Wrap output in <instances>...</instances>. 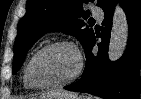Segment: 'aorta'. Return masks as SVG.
<instances>
[{
  "label": "aorta",
  "mask_w": 141,
  "mask_h": 99,
  "mask_svg": "<svg viewBox=\"0 0 141 99\" xmlns=\"http://www.w3.org/2000/svg\"><path fill=\"white\" fill-rule=\"evenodd\" d=\"M128 40V22L123 8L116 4L108 47V58L117 61L124 53Z\"/></svg>",
  "instance_id": "1"
}]
</instances>
